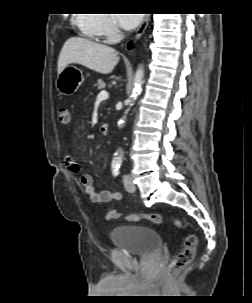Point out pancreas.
<instances>
[{
	"mask_svg": "<svg viewBox=\"0 0 252 303\" xmlns=\"http://www.w3.org/2000/svg\"><path fill=\"white\" fill-rule=\"evenodd\" d=\"M95 86L97 87L98 90L104 89L105 82L102 79H98Z\"/></svg>",
	"mask_w": 252,
	"mask_h": 303,
	"instance_id": "pancreas-1",
	"label": "pancreas"
}]
</instances>
